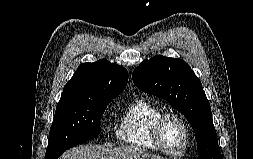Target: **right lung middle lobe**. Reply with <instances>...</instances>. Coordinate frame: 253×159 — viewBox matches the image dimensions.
Segmentation results:
<instances>
[{
  "label": "right lung middle lobe",
  "instance_id": "dd1d6c3e",
  "mask_svg": "<svg viewBox=\"0 0 253 159\" xmlns=\"http://www.w3.org/2000/svg\"><path fill=\"white\" fill-rule=\"evenodd\" d=\"M115 97H78L60 100L50 128L45 159H57L65 150L96 138L100 118Z\"/></svg>",
  "mask_w": 253,
  "mask_h": 159
}]
</instances>
